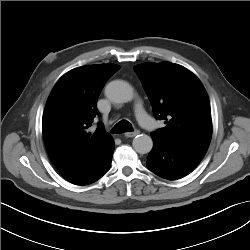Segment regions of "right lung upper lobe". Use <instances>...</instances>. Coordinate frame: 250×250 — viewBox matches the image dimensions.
<instances>
[{
    "label": "right lung upper lobe",
    "mask_w": 250,
    "mask_h": 250,
    "mask_svg": "<svg viewBox=\"0 0 250 250\" xmlns=\"http://www.w3.org/2000/svg\"><path fill=\"white\" fill-rule=\"evenodd\" d=\"M120 69L115 64L86 65L64 74L47 100L42 131L49 157L57 170H70L95 155L112 137L102 122L90 131L98 96Z\"/></svg>",
    "instance_id": "obj_1"
}]
</instances>
